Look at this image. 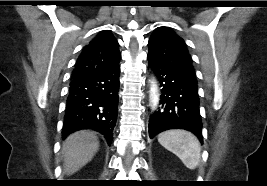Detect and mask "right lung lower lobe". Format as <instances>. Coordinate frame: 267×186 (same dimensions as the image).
I'll use <instances>...</instances> for the list:
<instances>
[{"instance_id":"1","label":"right lung lower lobe","mask_w":267,"mask_h":186,"mask_svg":"<svg viewBox=\"0 0 267 186\" xmlns=\"http://www.w3.org/2000/svg\"><path fill=\"white\" fill-rule=\"evenodd\" d=\"M119 63L72 76L62 128L64 137L81 129L103 134L111 144L118 113Z\"/></svg>"}]
</instances>
